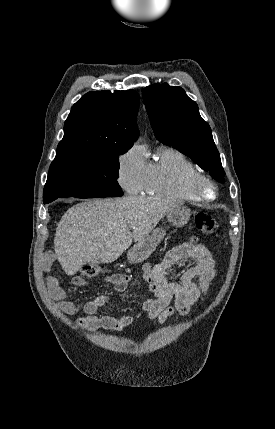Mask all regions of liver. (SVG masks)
I'll return each instance as SVG.
<instances>
[{"instance_id":"obj_1","label":"liver","mask_w":275,"mask_h":429,"mask_svg":"<svg viewBox=\"0 0 275 429\" xmlns=\"http://www.w3.org/2000/svg\"><path fill=\"white\" fill-rule=\"evenodd\" d=\"M177 206V202L169 199L139 196L76 204L64 213L56 228V257L70 276L86 263H112L133 240L146 238Z\"/></svg>"}]
</instances>
